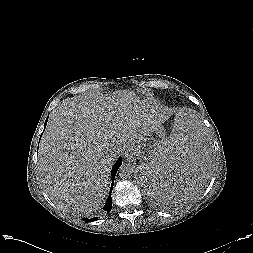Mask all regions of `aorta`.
Here are the masks:
<instances>
[{"mask_svg": "<svg viewBox=\"0 0 253 253\" xmlns=\"http://www.w3.org/2000/svg\"><path fill=\"white\" fill-rule=\"evenodd\" d=\"M134 172H135V169H134L133 165H131L129 163H123L119 167V170H118V174H119L120 178H122V179L130 178Z\"/></svg>", "mask_w": 253, "mask_h": 253, "instance_id": "762f6f07", "label": "aorta"}]
</instances>
